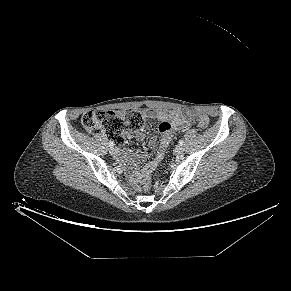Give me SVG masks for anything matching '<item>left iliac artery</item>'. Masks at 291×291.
I'll return each mask as SVG.
<instances>
[{
  "instance_id": "44dca946",
  "label": "left iliac artery",
  "mask_w": 291,
  "mask_h": 291,
  "mask_svg": "<svg viewBox=\"0 0 291 291\" xmlns=\"http://www.w3.org/2000/svg\"><path fill=\"white\" fill-rule=\"evenodd\" d=\"M184 141L183 140H179V145H183Z\"/></svg>"
}]
</instances>
